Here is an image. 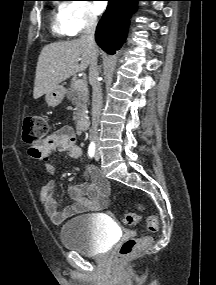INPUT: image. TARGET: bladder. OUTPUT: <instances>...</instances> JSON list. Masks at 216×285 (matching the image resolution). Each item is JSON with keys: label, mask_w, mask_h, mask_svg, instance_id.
Masks as SVG:
<instances>
[{"label": "bladder", "mask_w": 216, "mask_h": 285, "mask_svg": "<svg viewBox=\"0 0 216 285\" xmlns=\"http://www.w3.org/2000/svg\"><path fill=\"white\" fill-rule=\"evenodd\" d=\"M117 236V230L96 215H82L63 224L60 230L62 245L83 255L106 253Z\"/></svg>", "instance_id": "obj_1"}]
</instances>
